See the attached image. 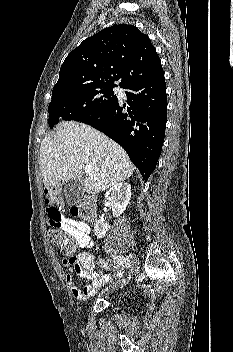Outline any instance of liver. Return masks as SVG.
Here are the masks:
<instances>
[{
	"label": "liver",
	"mask_w": 233,
	"mask_h": 352,
	"mask_svg": "<svg viewBox=\"0 0 233 352\" xmlns=\"http://www.w3.org/2000/svg\"><path fill=\"white\" fill-rule=\"evenodd\" d=\"M93 172L83 181V190L97 194L129 178L134 167L126 151L89 125L62 122L56 133L40 146V169L49 192L61 181L80 179L85 165Z\"/></svg>",
	"instance_id": "obj_1"
}]
</instances>
